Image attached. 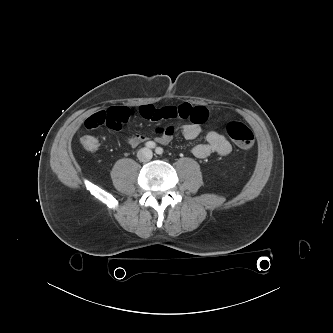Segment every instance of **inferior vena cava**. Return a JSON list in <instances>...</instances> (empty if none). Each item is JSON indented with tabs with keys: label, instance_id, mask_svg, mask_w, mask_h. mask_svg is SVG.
Masks as SVG:
<instances>
[{
	"label": "inferior vena cava",
	"instance_id": "1",
	"mask_svg": "<svg viewBox=\"0 0 333 333\" xmlns=\"http://www.w3.org/2000/svg\"><path fill=\"white\" fill-rule=\"evenodd\" d=\"M137 156H138L140 161L147 162L152 158L153 152L149 148H142V149L139 150Z\"/></svg>",
	"mask_w": 333,
	"mask_h": 333
}]
</instances>
